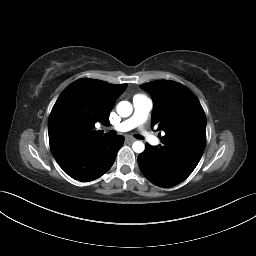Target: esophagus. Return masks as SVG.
<instances>
[{
  "label": "esophagus",
  "instance_id": "esophagus-1",
  "mask_svg": "<svg viewBox=\"0 0 256 256\" xmlns=\"http://www.w3.org/2000/svg\"><path fill=\"white\" fill-rule=\"evenodd\" d=\"M126 141H127V142H130V143H133V142L135 141V139H134V138H131V137H128V138H126Z\"/></svg>",
  "mask_w": 256,
  "mask_h": 256
}]
</instances>
